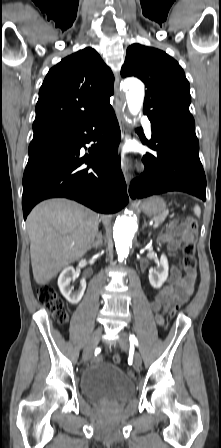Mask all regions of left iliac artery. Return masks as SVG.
I'll return each mask as SVG.
<instances>
[{
    "label": "left iliac artery",
    "instance_id": "1",
    "mask_svg": "<svg viewBox=\"0 0 221 448\" xmlns=\"http://www.w3.org/2000/svg\"><path fill=\"white\" fill-rule=\"evenodd\" d=\"M129 340H130V344H135L138 346V341L134 335H130Z\"/></svg>",
    "mask_w": 221,
    "mask_h": 448
}]
</instances>
